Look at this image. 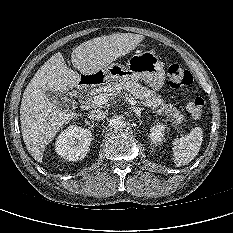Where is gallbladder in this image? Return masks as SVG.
I'll return each mask as SVG.
<instances>
[{"label": "gallbladder", "mask_w": 233, "mask_h": 233, "mask_svg": "<svg viewBox=\"0 0 233 233\" xmlns=\"http://www.w3.org/2000/svg\"><path fill=\"white\" fill-rule=\"evenodd\" d=\"M46 96L59 109H66L68 107L69 99L63 93L47 91Z\"/></svg>", "instance_id": "bac80fb5"}]
</instances>
